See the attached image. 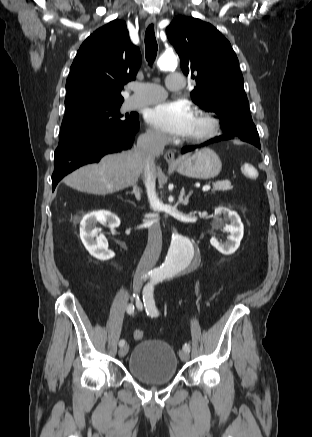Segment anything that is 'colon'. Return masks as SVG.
I'll list each match as a JSON object with an SVG mask.
<instances>
[{"mask_svg":"<svg viewBox=\"0 0 312 437\" xmlns=\"http://www.w3.org/2000/svg\"><path fill=\"white\" fill-rule=\"evenodd\" d=\"M133 337L137 341L143 340L144 339V331H142V330H135L133 332Z\"/></svg>","mask_w":312,"mask_h":437,"instance_id":"1","label":"colon"}]
</instances>
